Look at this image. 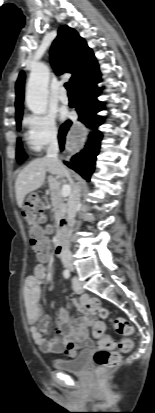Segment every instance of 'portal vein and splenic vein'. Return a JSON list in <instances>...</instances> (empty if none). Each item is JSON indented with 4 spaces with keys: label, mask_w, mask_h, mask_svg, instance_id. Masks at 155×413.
Listing matches in <instances>:
<instances>
[{
    "label": "portal vein and splenic vein",
    "mask_w": 155,
    "mask_h": 413,
    "mask_svg": "<svg viewBox=\"0 0 155 413\" xmlns=\"http://www.w3.org/2000/svg\"><path fill=\"white\" fill-rule=\"evenodd\" d=\"M70 193H71V187H70V185H67V184L63 185L62 188H61V196H62V198H65V197L69 196Z\"/></svg>",
    "instance_id": "portal-vein-and-splenic-vein-1"
}]
</instances>
